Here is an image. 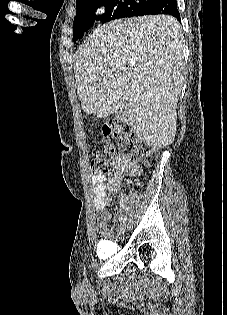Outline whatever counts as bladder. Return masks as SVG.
I'll return each mask as SVG.
<instances>
[{
    "mask_svg": "<svg viewBox=\"0 0 227 315\" xmlns=\"http://www.w3.org/2000/svg\"><path fill=\"white\" fill-rule=\"evenodd\" d=\"M112 251L109 249L108 244L106 243H102L100 244V246L98 247V255L100 257H108L110 255Z\"/></svg>",
    "mask_w": 227,
    "mask_h": 315,
    "instance_id": "1",
    "label": "bladder"
}]
</instances>
